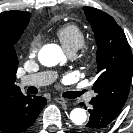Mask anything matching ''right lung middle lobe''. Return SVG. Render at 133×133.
<instances>
[{
  "label": "right lung middle lobe",
  "mask_w": 133,
  "mask_h": 133,
  "mask_svg": "<svg viewBox=\"0 0 133 133\" xmlns=\"http://www.w3.org/2000/svg\"><path fill=\"white\" fill-rule=\"evenodd\" d=\"M22 33L7 38L0 37V69H13L18 66L14 45Z\"/></svg>",
  "instance_id": "obj_1"
}]
</instances>
